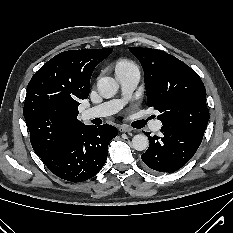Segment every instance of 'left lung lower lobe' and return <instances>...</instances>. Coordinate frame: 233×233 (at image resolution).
I'll use <instances>...</instances> for the list:
<instances>
[{
    "mask_svg": "<svg viewBox=\"0 0 233 233\" xmlns=\"http://www.w3.org/2000/svg\"><path fill=\"white\" fill-rule=\"evenodd\" d=\"M160 136L146 135L149 148L141 155L143 162L156 172H174L184 166L199 148L202 138L190 132L163 126Z\"/></svg>",
    "mask_w": 233,
    "mask_h": 233,
    "instance_id": "obj_1",
    "label": "left lung lower lobe"
}]
</instances>
